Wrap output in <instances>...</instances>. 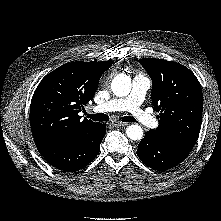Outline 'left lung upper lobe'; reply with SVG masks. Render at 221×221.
<instances>
[{"label":"left lung upper lobe","mask_w":221,"mask_h":221,"mask_svg":"<svg viewBox=\"0 0 221 221\" xmlns=\"http://www.w3.org/2000/svg\"><path fill=\"white\" fill-rule=\"evenodd\" d=\"M139 63L149 73L154 110L159 126L151 129L161 142L191 151L199 134L203 96L196 76L185 66L163 59L143 58Z\"/></svg>","instance_id":"1"}]
</instances>
